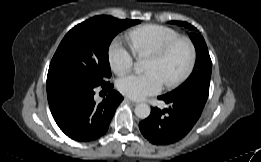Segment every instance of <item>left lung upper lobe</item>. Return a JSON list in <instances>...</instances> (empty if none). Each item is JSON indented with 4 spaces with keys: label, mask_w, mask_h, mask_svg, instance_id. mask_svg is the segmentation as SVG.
Segmentation results:
<instances>
[{
    "label": "left lung upper lobe",
    "mask_w": 261,
    "mask_h": 162,
    "mask_svg": "<svg viewBox=\"0 0 261 162\" xmlns=\"http://www.w3.org/2000/svg\"><path fill=\"white\" fill-rule=\"evenodd\" d=\"M171 23L183 25L193 31H196L194 26L186 22L172 21ZM190 38L196 49V63L193 72L181 86L168 94L190 91L197 92L208 98L212 70V62L208 53V48L204 38L201 35L193 32L190 34Z\"/></svg>",
    "instance_id": "obj_1"
}]
</instances>
